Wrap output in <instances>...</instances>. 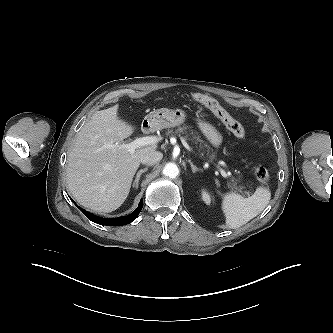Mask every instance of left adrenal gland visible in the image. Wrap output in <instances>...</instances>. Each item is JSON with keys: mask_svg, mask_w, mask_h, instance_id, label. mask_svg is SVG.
Returning <instances> with one entry per match:
<instances>
[{"mask_svg": "<svg viewBox=\"0 0 333 333\" xmlns=\"http://www.w3.org/2000/svg\"><path fill=\"white\" fill-rule=\"evenodd\" d=\"M189 163H190L193 173L200 171V169L197 166H195L191 160H189Z\"/></svg>", "mask_w": 333, "mask_h": 333, "instance_id": "obj_1", "label": "left adrenal gland"}]
</instances>
